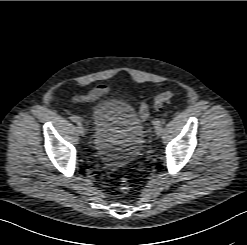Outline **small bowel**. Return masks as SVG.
Returning <instances> with one entry per match:
<instances>
[{"label":"small bowel","mask_w":247,"mask_h":245,"mask_svg":"<svg viewBox=\"0 0 247 245\" xmlns=\"http://www.w3.org/2000/svg\"><path fill=\"white\" fill-rule=\"evenodd\" d=\"M109 92V87L106 84H98L93 89L85 94H77L72 98L73 103H87L102 99ZM139 118L146 121L149 118V108L144 101L139 104Z\"/></svg>","instance_id":"small-bowel-1"}]
</instances>
